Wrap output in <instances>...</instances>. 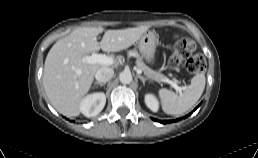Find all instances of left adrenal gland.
Returning <instances> with one entry per match:
<instances>
[{
	"instance_id": "obj_1",
	"label": "left adrenal gland",
	"mask_w": 258,
	"mask_h": 158,
	"mask_svg": "<svg viewBox=\"0 0 258 158\" xmlns=\"http://www.w3.org/2000/svg\"><path fill=\"white\" fill-rule=\"evenodd\" d=\"M137 77L142 81L143 85H145V81L147 80V78H144L143 76L141 75H137Z\"/></svg>"
}]
</instances>
